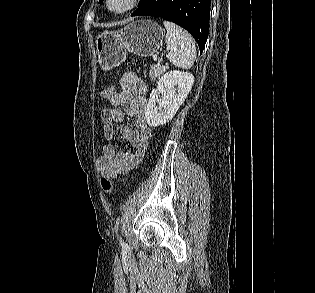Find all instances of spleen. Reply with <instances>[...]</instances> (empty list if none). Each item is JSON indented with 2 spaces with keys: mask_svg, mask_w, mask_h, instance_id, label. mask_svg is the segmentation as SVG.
Masks as SVG:
<instances>
[{
  "mask_svg": "<svg viewBox=\"0 0 315 293\" xmlns=\"http://www.w3.org/2000/svg\"><path fill=\"white\" fill-rule=\"evenodd\" d=\"M167 30L165 42L170 48L167 59L176 67L189 69L196 58V47L193 38L175 23L164 21Z\"/></svg>",
  "mask_w": 315,
  "mask_h": 293,
  "instance_id": "1",
  "label": "spleen"
}]
</instances>
